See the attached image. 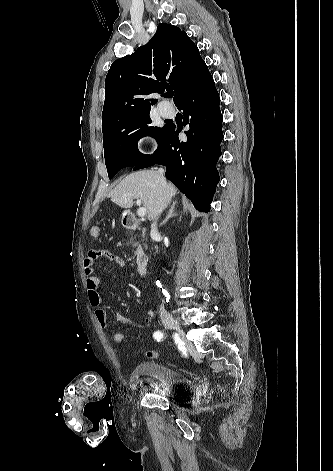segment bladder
Here are the masks:
<instances>
[{"mask_svg":"<svg viewBox=\"0 0 333 471\" xmlns=\"http://www.w3.org/2000/svg\"><path fill=\"white\" fill-rule=\"evenodd\" d=\"M132 375L154 381L161 396L169 401L190 397L194 388L192 382L179 370L155 360L138 363L132 369Z\"/></svg>","mask_w":333,"mask_h":471,"instance_id":"1","label":"bladder"}]
</instances>
